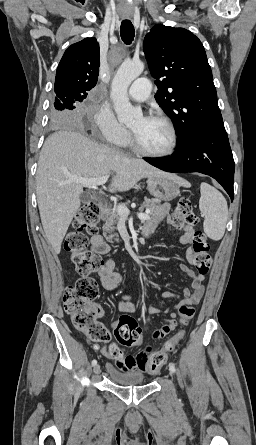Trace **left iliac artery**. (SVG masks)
Here are the masks:
<instances>
[{
    "label": "left iliac artery",
    "mask_w": 256,
    "mask_h": 445,
    "mask_svg": "<svg viewBox=\"0 0 256 445\" xmlns=\"http://www.w3.org/2000/svg\"><path fill=\"white\" fill-rule=\"evenodd\" d=\"M169 369H170L172 372H175V371H176L175 365H174L173 363H170V364H169Z\"/></svg>",
    "instance_id": "left-iliac-artery-1"
}]
</instances>
